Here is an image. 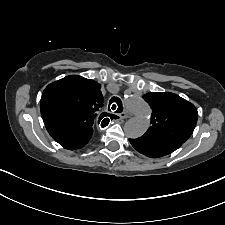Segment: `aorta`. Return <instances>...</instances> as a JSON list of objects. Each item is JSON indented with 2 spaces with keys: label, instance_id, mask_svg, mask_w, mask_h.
Returning a JSON list of instances; mask_svg holds the SVG:
<instances>
[{
  "label": "aorta",
  "instance_id": "762f6f07",
  "mask_svg": "<svg viewBox=\"0 0 225 225\" xmlns=\"http://www.w3.org/2000/svg\"><path fill=\"white\" fill-rule=\"evenodd\" d=\"M127 108L135 114L124 125V132L129 138L141 137L150 125V108L148 104L137 96H130L125 99Z\"/></svg>",
  "mask_w": 225,
  "mask_h": 225
}]
</instances>
